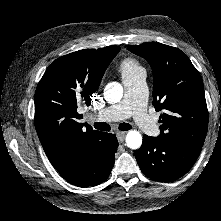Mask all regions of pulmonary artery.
Here are the masks:
<instances>
[{
  "label": "pulmonary artery",
  "mask_w": 221,
  "mask_h": 221,
  "mask_svg": "<svg viewBox=\"0 0 221 221\" xmlns=\"http://www.w3.org/2000/svg\"><path fill=\"white\" fill-rule=\"evenodd\" d=\"M145 71H141L132 78L122 79L125 94L121 102L98 111L91 119L104 122L133 118L138 127L150 135L157 132V124L145 110L147 101V87Z\"/></svg>",
  "instance_id": "obj_1"
}]
</instances>
